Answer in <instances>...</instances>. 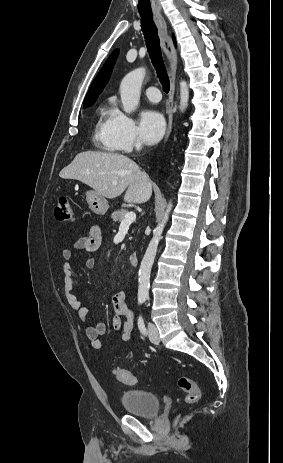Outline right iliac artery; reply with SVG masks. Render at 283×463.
Returning a JSON list of instances; mask_svg holds the SVG:
<instances>
[{
    "instance_id": "right-iliac-artery-1",
    "label": "right iliac artery",
    "mask_w": 283,
    "mask_h": 463,
    "mask_svg": "<svg viewBox=\"0 0 283 463\" xmlns=\"http://www.w3.org/2000/svg\"><path fill=\"white\" fill-rule=\"evenodd\" d=\"M143 302H144L143 299H139V300H138V304H142Z\"/></svg>"
}]
</instances>
